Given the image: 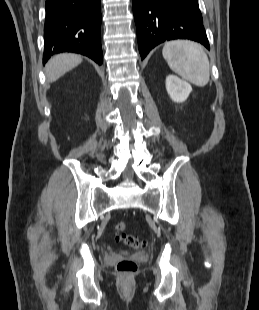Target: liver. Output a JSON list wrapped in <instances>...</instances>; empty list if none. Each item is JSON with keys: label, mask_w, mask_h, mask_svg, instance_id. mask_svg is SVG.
Returning a JSON list of instances; mask_svg holds the SVG:
<instances>
[{"label": "liver", "mask_w": 259, "mask_h": 310, "mask_svg": "<svg viewBox=\"0 0 259 310\" xmlns=\"http://www.w3.org/2000/svg\"><path fill=\"white\" fill-rule=\"evenodd\" d=\"M81 62L82 57L72 53H63L52 57L45 66L48 83L55 82Z\"/></svg>", "instance_id": "6515ba94"}]
</instances>
